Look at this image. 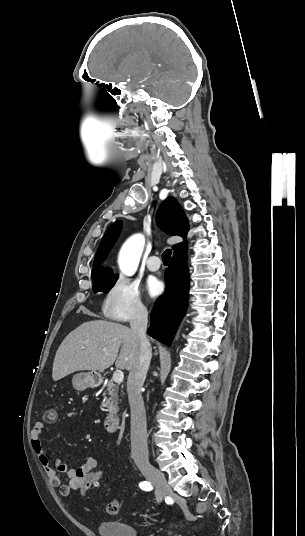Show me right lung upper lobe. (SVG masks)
<instances>
[{
	"instance_id": "cb5924a9",
	"label": "right lung upper lobe",
	"mask_w": 305,
	"mask_h": 536,
	"mask_svg": "<svg viewBox=\"0 0 305 536\" xmlns=\"http://www.w3.org/2000/svg\"><path fill=\"white\" fill-rule=\"evenodd\" d=\"M156 221L169 235H178L184 239L182 243L173 246L174 255L185 253L187 251L186 235L189 230V223L182 207L174 197H168L162 202L156 215ZM121 228V221H117L105 232L94 259L93 265L97 267L92 269L93 280L118 276L117 274H114L110 268H105L100 266V264L117 240Z\"/></svg>"
}]
</instances>
